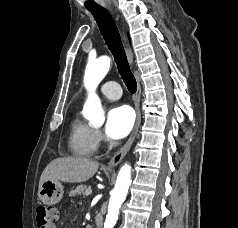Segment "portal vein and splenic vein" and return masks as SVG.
Masks as SVG:
<instances>
[{
	"instance_id": "1",
	"label": "portal vein and splenic vein",
	"mask_w": 238,
	"mask_h": 228,
	"mask_svg": "<svg viewBox=\"0 0 238 228\" xmlns=\"http://www.w3.org/2000/svg\"><path fill=\"white\" fill-rule=\"evenodd\" d=\"M90 194H91V189H87V190L85 191V195L88 196V195H90Z\"/></svg>"
}]
</instances>
